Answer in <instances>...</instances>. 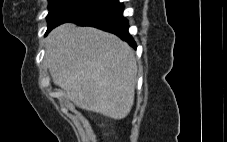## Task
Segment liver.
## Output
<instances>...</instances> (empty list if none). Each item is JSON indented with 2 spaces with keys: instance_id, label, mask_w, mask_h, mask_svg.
I'll return each instance as SVG.
<instances>
[{
  "instance_id": "obj_1",
  "label": "liver",
  "mask_w": 227,
  "mask_h": 142,
  "mask_svg": "<svg viewBox=\"0 0 227 142\" xmlns=\"http://www.w3.org/2000/svg\"><path fill=\"white\" fill-rule=\"evenodd\" d=\"M45 57L53 83L79 108L121 120L134 104L133 49L117 36L65 23L47 37Z\"/></svg>"
}]
</instances>
